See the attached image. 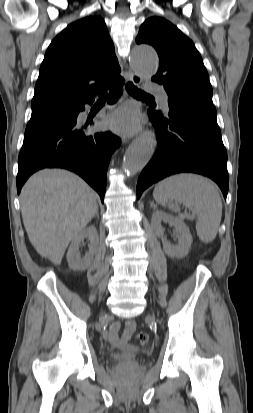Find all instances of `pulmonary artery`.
<instances>
[{
    "label": "pulmonary artery",
    "mask_w": 253,
    "mask_h": 413,
    "mask_svg": "<svg viewBox=\"0 0 253 413\" xmlns=\"http://www.w3.org/2000/svg\"><path fill=\"white\" fill-rule=\"evenodd\" d=\"M145 90L148 93L158 96L165 110H168V95L162 87L156 84H147Z\"/></svg>",
    "instance_id": "obj_1"
}]
</instances>
